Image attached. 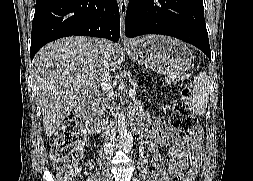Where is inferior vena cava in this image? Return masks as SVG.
Segmentation results:
<instances>
[{
  "instance_id": "obj_1",
  "label": "inferior vena cava",
  "mask_w": 253,
  "mask_h": 181,
  "mask_svg": "<svg viewBox=\"0 0 253 181\" xmlns=\"http://www.w3.org/2000/svg\"><path fill=\"white\" fill-rule=\"evenodd\" d=\"M102 60L104 63V71H105L103 83H102V90L106 94L107 98H110L113 93V83H112V77L110 75V71L112 70L110 68H112V64L109 63L107 50L104 52ZM109 125H112V122H109ZM108 133L113 135L116 133V130L113 127H110L108 130ZM111 138L113 137L111 136Z\"/></svg>"
}]
</instances>
